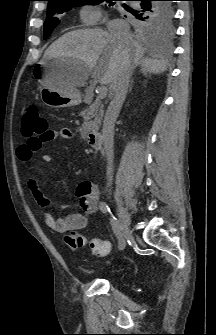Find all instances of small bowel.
Returning a JSON list of instances; mask_svg holds the SVG:
<instances>
[{
	"label": "small bowel",
	"instance_id": "1",
	"mask_svg": "<svg viewBox=\"0 0 216 335\" xmlns=\"http://www.w3.org/2000/svg\"><path fill=\"white\" fill-rule=\"evenodd\" d=\"M72 132L68 128H62L58 131H50L48 137L46 138L45 142H49L55 139H71ZM44 142V143H45ZM18 156L24 162H30L32 159L33 151L29 147L28 144H23L18 147ZM43 161L46 163L51 162L52 157L49 154L43 155ZM27 186L30 195L32 196L34 202L40 208L47 209L49 207H55L58 210H66L73 208L74 205L72 204H52L49 200H47L40 188L38 183V177L36 172L33 168L29 169L28 177H27ZM76 196L79 200V206L83 209L85 214L81 213H73L64 216H60L58 218L53 217V215L44 210L42 212V218L44 222L53 230L57 231L58 233H68L72 230H79L83 229L88 224L87 215L95 214L98 209L100 208V194L98 189L94 186L91 181H83L79 184ZM106 246L109 248V252L111 250V243L108 241H104ZM108 252V253H109ZM106 256V255H104ZM103 257V256H100Z\"/></svg>",
	"mask_w": 216,
	"mask_h": 335
}]
</instances>
